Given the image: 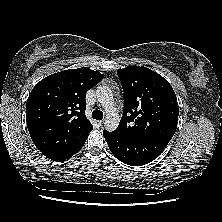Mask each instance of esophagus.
Here are the masks:
<instances>
[{
  "instance_id": "34e87169",
  "label": "esophagus",
  "mask_w": 222,
  "mask_h": 222,
  "mask_svg": "<svg viewBox=\"0 0 222 222\" xmlns=\"http://www.w3.org/2000/svg\"><path fill=\"white\" fill-rule=\"evenodd\" d=\"M103 123H104V120H100V121H98V124H99L100 126H102Z\"/></svg>"
}]
</instances>
